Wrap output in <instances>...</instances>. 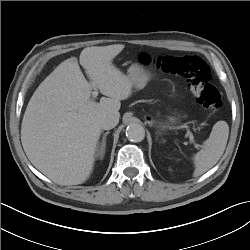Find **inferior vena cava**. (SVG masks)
<instances>
[{
    "instance_id": "1",
    "label": "inferior vena cava",
    "mask_w": 250,
    "mask_h": 250,
    "mask_svg": "<svg viewBox=\"0 0 250 250\" xmlns=\"http://www.w3.org/2000/svg\"><path fill=\"white\" fill-rule=\"evenodd\" d=\"M119 122V118L114 115H108L100 120V127L103 130H110L114 128Z\"/></svg>"
}]
</instances>
